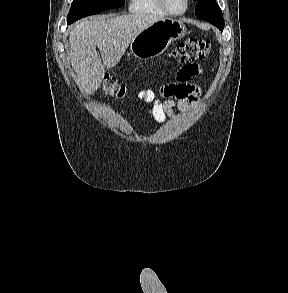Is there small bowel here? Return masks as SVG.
I'll return each instance as SVG.
<instances>
[{
    "label": "small bowel",
    "mask_w": 288,
    "mask_h": 293,
    "mask_svg": "<svg viewBox=\"0 0 288 293\" xmlns=\"http://www.w3.org/2000/svg\"><path fill=\"white\" fill-rule=\"evenodd\" d=\"M201 72L196 63L184 65L176 75V81L165 84L159 89L164 101L157 99L153 90L147 89L139 92L138 97L145 102L152 103V116L157 124H164L168 118L174 116V108L187 113L198 102V89L189 83V80Z\"/></svg>",
    "instance_id": "obj_1"
}]
</instances>
